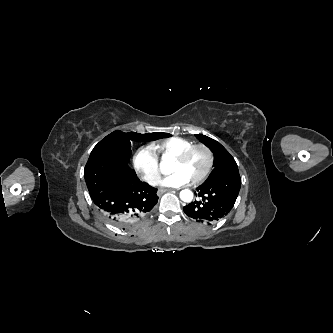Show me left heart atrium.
<instances>
[{
    "instance_id": "1",
    "label": "left heart atrium",
    "mask_w": 333,
    "mask_h": 333,
    "mask_svg": "<svg viewBox=\"0 0 333 333\" xmlns=\"http://www.w3.org/2000/svg\"><path fill=\"white\" fill-rule=\"evenodd\" d=\"M190 182V179L182 172H174L171 175L165 177L162 181V185L166 187H181Z\"/></svg>"
}]
</instances>
